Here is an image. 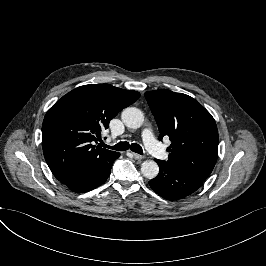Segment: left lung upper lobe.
Here are the masks:
<instances>
[{
    "mask_svg": "<svg viewBox=\"0 0 266 266\" xmlns=\"http://www.w3.org/2000/svg\"><path fill=\"white\" fill-rule=\"evenodd\" d=\"M162 140L169 136V165L205 180L218 157V131L212 115L195 99L167 89L145 92Z\"/></svg>",
    "mask_w": 266,
    "mask_h": 266,
    "instance_id": "obj_1",
    "label": "left lung upper lobe"
}]
</instances>
